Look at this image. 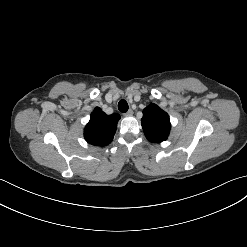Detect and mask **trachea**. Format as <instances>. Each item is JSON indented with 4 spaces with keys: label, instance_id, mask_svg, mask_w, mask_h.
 Listing matches in <instances>:
<instances>
[{
    "label": "trachea",
    "instance_id": "obj_1",
    "mask_svg": "<svg viewBox=\"0 0 247 247\" xmlns=\"http://www.w3.org/2000/svg\"><path fill=\"white\" fill-rule=\"evenodd\" d=\"M128 108H129L128 107V103L124 99L119 101L118 109H119L120 112H127Z\"/></svg>",
    "mask_w": 247,
    "mask_h": 247
}]
</instances>
